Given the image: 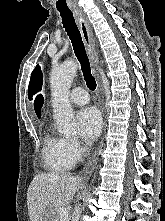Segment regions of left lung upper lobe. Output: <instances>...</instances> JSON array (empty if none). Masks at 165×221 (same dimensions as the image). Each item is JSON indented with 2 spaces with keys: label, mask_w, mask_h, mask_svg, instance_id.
Segmentation results:
<instances>
[{
  "label": "left lung upper lobe",
  "mask_w": 165,
  "mask_h": 221,
  "mask_svg": "<svg viewBox=\"0 0 165 221\" xmlns=\"http://www.w3.org/2000/svg\"><path fill=\"white\" fill-rule=\"evenodd\" d=\"M42 104H43V97L40 95L36 98L35 103H34L35 112H36V114L39 118L41 116V106H42Z\"/></svg>",
  "instance_id": "left-lung-upper-lobe-1"
}]
</instances>
